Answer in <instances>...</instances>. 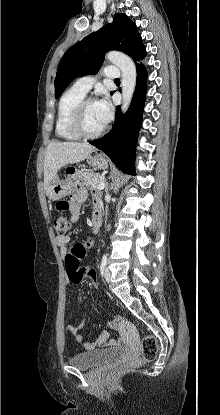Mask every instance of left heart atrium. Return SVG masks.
<instances>
[{"mask_svg": "<svg viewBox=\"0 0 220 415\" xmlns=\"http://www.w3.org/2000/svg\"><path fill=\"white\" fill-rule=\"evenodd\" d=\"M97 113L104 124L112 117V106L107 96L102 97L96 102Z\"/></svg>", "mask_w": 220, "mask_h": 415, "instance_id": "1", "label": "left heart atrium"}]
</instances>
